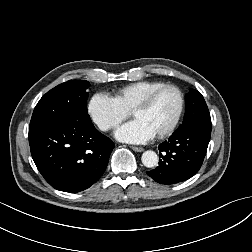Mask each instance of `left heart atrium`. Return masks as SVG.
Here are the masks:
<instances>
[{
	"label": "left heart atrium",
	"mask_w": 252,
	"mask_h": 252,
	"mask_svg": "<svg viewBox=\"0 0 252 252\" xmlns=\"http://www.w3.org/2000/svg\"><path fill=\"white\" fill-rule=\"evenodd\" d=\"M115 136L123 142L140 144L151 140L155 134L144 122L134 119L119 127Z\"/></svg>",
	"instance_id": "39dd6f15"
}]
</instances>
